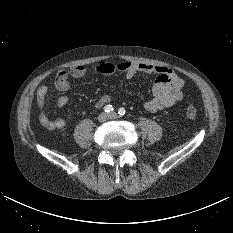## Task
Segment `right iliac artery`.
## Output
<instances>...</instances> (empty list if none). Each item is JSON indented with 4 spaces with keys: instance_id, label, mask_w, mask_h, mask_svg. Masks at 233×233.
Listing matches in <instances>:
<instances>
[{
    "instance_id": "right-iliac-artery-1",
    "label": "right iliac artery",
    "mask_w": 233,
    "mask_h": 233,
    "mask_svg": "<svg viewBox=\"0 0 233 233\" xmlns=\"http://www.w3.org/2000/svg\"><path fill=\"white\" fill-rule=\"evenodd\" d=\"M113 110H114V108H113L112 105H106V106L104 107V111H105L106 113L112 112Z\"/></svg>"
}]
</instances>
